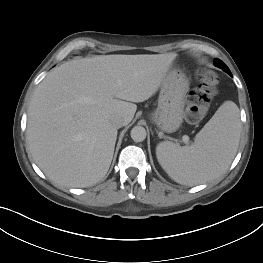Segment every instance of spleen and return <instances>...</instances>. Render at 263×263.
Returning a JSON list of instances; mask_svg holds the SVG:
<instances>
[{
  "label": "spleen",
  "instance_id": "spleen-1",
  "mask_svg": "<svg viewBox=\"0 0 263 263\" xmlns=\"http://www.w3.org/2000/svg\"><path fill=\"white\" fill-rule=\"evenodd\" d=\"M239 108L224 102L196 135L191 146L170 141L156 147L159 164L177 183L197 185L224 173L234 159L240 140Z\"/></svg>",
  "mask_w": 263,
  "mask_h": 263
}]
</instances>
